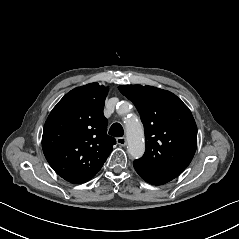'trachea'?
<instances>
[{
    "label": "trachea",
    "mask_w": 239,
    "mask_h": 239,
    "mask_svg": "<svg viewBox=\"0 0 239 239\" xmlns=\"http://www.w3.org/2000/svg\"><path fill=\"white\" fill-rule=\"evenodd\" d=\"M109 134L114 137H122L124 135L123 127L120 123H114L109 129Z\"/></svg>",
    "instance_id": "3493384b"
}]
</instances>
